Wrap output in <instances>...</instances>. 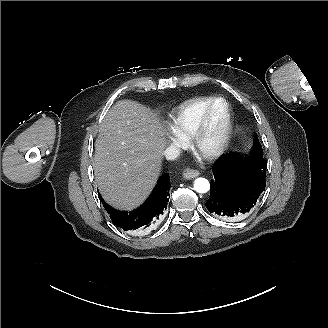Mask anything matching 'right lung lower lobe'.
<instances>
[{"label": "right lung lower lobe", "instance_id": "1", "mask_svg": "<svg viewBox=\"0 0 328 328\" xmlns=\"http://www.w3.org/2000/svg\"><path fill=\"white\" fill-rule=\"evenodd\" d=\"M170 187L169 175L165 174L159 178L148 199L140 207L130 212L114 209L107 205L101 197L100 199L111 220L117 227L124 231L139 228L146 229L151 222L158 220L166 209Z\"/></svg>", "mask_w": 328, "mask_h": 328}]
</instances>
